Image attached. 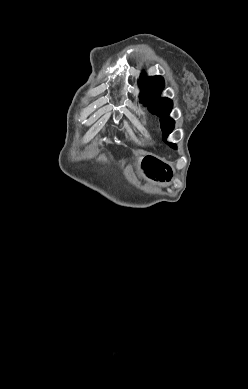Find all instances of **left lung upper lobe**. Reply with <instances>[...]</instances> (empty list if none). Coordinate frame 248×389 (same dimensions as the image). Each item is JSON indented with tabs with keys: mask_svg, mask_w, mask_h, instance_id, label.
Here are the masks:
<instances>
[{
	"mask_svg": "<svg viewBox=\"0 0 248 389\" xmlns=\"http://www.w3.org/2000/svg\"><path fill=\"white\" fill-rule=\"evenodd\" d=\"M141 81L139 82L141 93L140 99L145 106H148L152 114L160 117L161 130L163 132V139L165 140L174 129V120L169 117L173 103L168 98H161L160 94L164 88V79L161 76L146 77L144 73L141 74ZM170 147L176 149V145L166 142Z\"/></svg>",
	"mask_w": 248,
	"mask_h": 389,
	"instance_id": "left-lung-upper-lobe-1",
	"label": "left lung upper lobe"
}]
</instances>
